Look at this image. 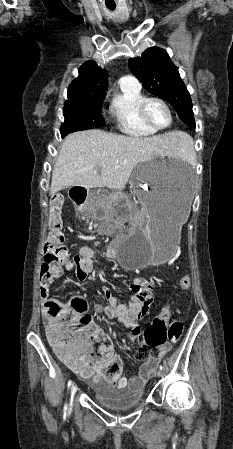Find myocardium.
Listing matches in <instances>:
<instances>
[{
  "label": "myocardium",
  "mask_w": 233,
  "mask_h": 449,
  "mask_svg": "<svg viewBox=\"0 0 233 449\" xmlns=\"http://www.w3.org/2000/svg\"><path fill=\"white\" fill-rule=\"evenodd\" d=\"M153 101L160 103V104L167 110V112H168V115H169V121H168V123H167L165 126H163V127H157V126H155V125L148 119V117H147V113H146L147 105H148L150 102H153ZM138 114H139L140 120H141V121H142V122L149 128V129H151V130H153V131H156V132H157V131H161V130H164V129L169 128V127L171 126L172 122H173V113H172V110H171L170 106L168 105V103H167L165 100H163V99L160 98V97H155V96H152V97H145V98L140 102V104H139V107H138Z\"/></svg>",
  "instance_id": "obj_1"
}]
</instances>
